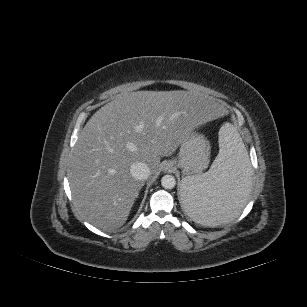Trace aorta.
<instances>
[{
    "mask_svg": "<svg viewBox=\"0 0 307 307\" xmlns=\"http://www.w3.org/2000/svg\"><path fill=\"white\" fill-rule=\"evenodd\" d=\"M161 185L165 189H173L176 185V180L172 175H164L161 179Z\"/></svg>",
    "mask_w": 307,
    "mask_h": 307,
    "instance_id": "762f6f07",
    "label": "aorta"
}]
</instances>
